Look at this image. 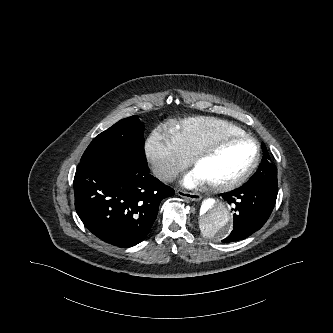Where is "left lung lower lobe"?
Returning <instances> with one entry per match:
<instances>
[{
    "label": "left lung lower lobe",
    "mask_w": 333,
    "mask_h": 333,
    "mask_svg": "<svg viewBox=\"0 0 333 333\" xmlns=\"http://www.w3.org/2000/svg\"><path fill=\"white\" fill-rule=\"evenodd\" d=\"M263 153H268L262 143ZM278 186L247 185L221 197L232 205L234 228L231 234L222 240L224 243L245 239L259 230L268 220L276 202Z\"/></svg>",
    "instance_id": "obj_1"
}]
</instances>
